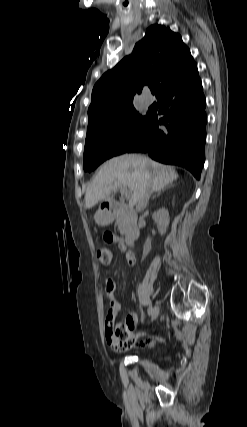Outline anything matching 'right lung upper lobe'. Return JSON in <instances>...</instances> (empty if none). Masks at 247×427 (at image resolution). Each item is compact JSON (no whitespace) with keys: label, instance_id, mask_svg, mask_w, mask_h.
<instances>
[{"label":"right lung upper lobe","instance_id":"obj_1","mask_svg":"<svg viewBox=\"0 0 247 427\" xmlns=\"http://www.w3.org/2000/svg\"><path fill=\"white\" fill-rule=\"evenodd\" d=\"M196 68L179 34L150 26L130 56L107 71L94 85L88 109V129L116 118L133 106L143 87L156 88L160 97L173 83Z\"/></svg>","mask_w":247,"mask_h":427}]
</instances>
